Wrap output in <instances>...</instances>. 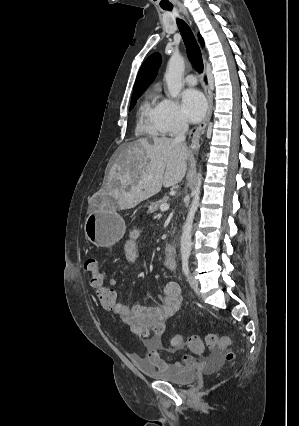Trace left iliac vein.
Segmentation results:
<instances>
[{
  "mask_svg": "<svg viewBox=\"0 0 299 426\" xmlns=\"http://www.w3.org/2000/svg\"><path fill=\"white\" fill-rule=\"evenodd\" d=\"M187 281L194 290L199 289V282L193 276L188 277Z\"/></svg>",
  "mask_w": 299,
  "mask_h": 426,
  "instance_id": "1",
  "label": "left iliac vein"
}]
</instances>
